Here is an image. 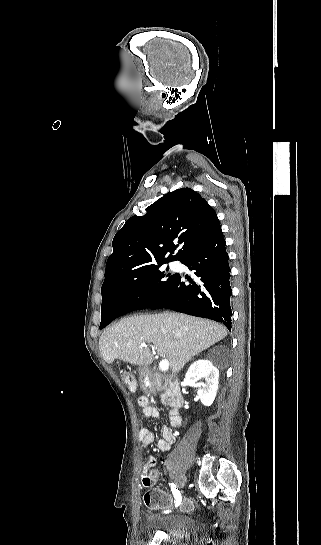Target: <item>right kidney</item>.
Listing matches in <instances>:
<instances>
[{
    "instance_id": "1",
    "label": "right kidney",
    "mask_w": 321,
    "mask_h": 545,
    "mask_svg": "<svg viewBox=\"0 0 321 545\" xmlns=\"http://www.w3.org/2000/svg\"><path fill=\"white\" fill-rule=\"evenodd\" d=\"M199 377H205L206 383L202 385V389H198L197 395L205 407H211L218 391L219 371L214 369L210 361L200 359L189 367L184 381L189 387H197L195 383Z\"/></svg>"
}]
</instances>
